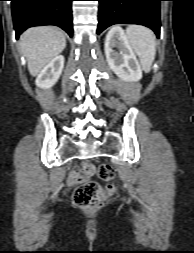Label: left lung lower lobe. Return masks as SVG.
Instances as JSON below:
<instances>
[{
  "label": "left lung lower lobe",
  "instance_id": "obj_1",
  "mask_svg": "<svg viewBox=\"0 0 194 253\" xmlns=\"http://www.w3.org/2000/svg\"><path fill=\"white\" fill-rule=\"evenodd\" d=\"M97 34L118 23L140 24L160 36V1L163 0H98Z\"/></svg>",
  "mask_w": 194,
  "mask_h": 253
}]
</instances>
